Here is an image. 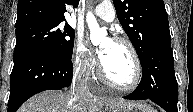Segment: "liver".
I'll use <instances>...</instances> for the list:
<instances>
[{
	"label": "liver",
	"mask_w": 193,
	"mask_h": 112,
	"mask_svg": "<svg viewBox=\"0 0 193 112\" xmlns=\"http://www.w3.org/2000/svg\"><path fill=\"white\" fill-rule=\"evenodd\" d=\"M129 102L99 98L91 93L74 96L72 92L44 91L26 101L18 112H108L107 103L120 106Z\"/></svg>",
	"instance_id": "liver-1"
}]
</instances>
